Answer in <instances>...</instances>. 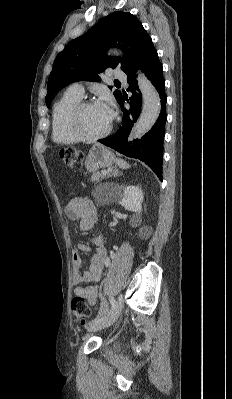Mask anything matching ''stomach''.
Instances as JSON below:
<instances>
[{"label":"stomach","mask_w":232,"mask_h":399,"mask_svg":"<svg viewBox=\"0 0 232 399\" xmlns=\"http://www.w3.org/2000/svg\"><path fill=\"white\" fill-rule=\"evenodd\" d=\"M114 162L113 152H110L101 144H94L85 160V168L88 172H97L100 168H109Z\"/></svg>","instance_id":"obj_1"}]
</instances>
